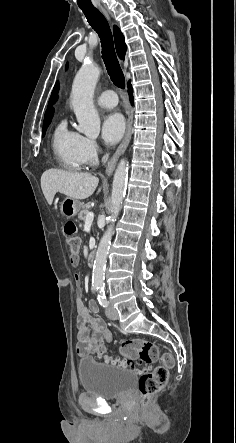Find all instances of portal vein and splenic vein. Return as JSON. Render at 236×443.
<instances>
[{"label":"portal vein and splenic vein","instance_id":"obj_1","mask_svg":"<svg viewBox=\"0 0 236 443\" xmlns=\"http://www.w3.org/2000/svg\"><path fill=\"white\" fill-rule=\"evenodd\" d=\"M94 220V213L89 212L86 216V222H92Z\"/></svg>","mask_w":236,"mask_h":443}]
</instances>
